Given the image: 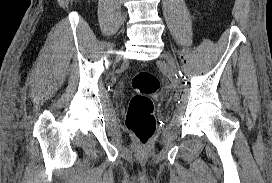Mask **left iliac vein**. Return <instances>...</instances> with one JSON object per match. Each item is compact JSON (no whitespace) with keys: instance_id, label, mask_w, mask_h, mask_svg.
I'll list each match as a JSON object with an SVG mask.
<instances>
[{"instance_id":"1","label":"left iliac vein","mask_w":272,"mask_h":183,"mask_svg":"<svg viewBox=\"0 0 272 183\" xmlns=\"http://www.w3.org/2000/svg\"><path fill=\"white\" fill-rule=\"evenodd\" d=\"M162 59H164L167 63V70L168 73L171 77H174L176 74V65H175V61L173 60V58L171 57V55L168 52H164L162 54Z\"/></svg>"}]
</instances>
